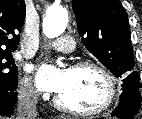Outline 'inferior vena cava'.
I'll use <instances>...</instances> for the list:
<instances>
[{
    "label": "inferior vena cava",
    "instance_id": "602c4592",
    "mask_svg": "<svg viewBox=\"0 0 142 119\" xmlns=\"http://www.w3.org/2000/svg\"><path fill=\"white\" fill-rule=\"evenodd\" d=\"M38 92L31 85L20 88L18 94L17 117L16 119H35Z\"/></svg>",
    "mask_w": 142,
    "mask_h": 119
}]
</instances>
